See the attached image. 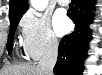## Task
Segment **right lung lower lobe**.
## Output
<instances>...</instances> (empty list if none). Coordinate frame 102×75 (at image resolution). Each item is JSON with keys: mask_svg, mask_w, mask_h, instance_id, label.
Returning a JSON list of instances; mask_svg holds the SVG:
<instances>
[{"mask_svg": "<svg viewBox=\"0 0 102 75\" xmlns=\"http://www.w3.org/2000/svg\"><path fill=\"white\" fill-rule=\"evenodd\" d=\"M94 0H71L67 15L75 23V30L63 37L58 48V59L53 69L55 75H82L91 38L89 24L92 21Z\"/></svg>", "mask_w": 102, "mask_h": 75, "instance_id": "obj_1", "label": "right lung lower lobe"}]
</instances>
